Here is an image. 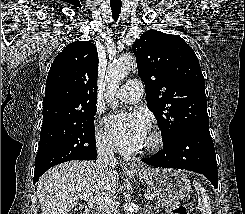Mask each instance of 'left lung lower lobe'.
<instances>
[{
	"label": "left lung lower lobe",
	"instance_id": "0a47b994",
	"mask_svg": "<svg viewBox=\"0 0 245 214\" xmlns=\"http://www.w3.org/2000/svg\"><path fill=\"white\" fill-rule=\"evenodd\" d=\"M142 161L154 167L178 168L203 174L218 187L214 144L206 126H196L182 134L174 143Z\"/></svg>",
	"mask_w": 245,
	"mask_h": 214
}]
</instances>
